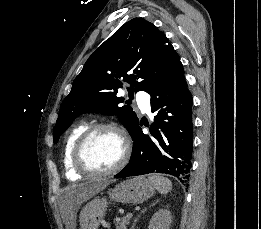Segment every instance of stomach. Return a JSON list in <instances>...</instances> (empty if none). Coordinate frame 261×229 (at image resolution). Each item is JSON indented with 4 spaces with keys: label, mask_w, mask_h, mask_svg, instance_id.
<instances>
[{
    "label": "stomach",
    "mask_w": 261,
    "mask_h": 229,
    "mask_svg": "<svg viewBox=\"0 0 261 229\" xmlns=\"http://www.w3.org/2000/svg\"><path fill=\"white\" fill-rule=\"evenodd\" d=\"M157 189L155 183L144 177L128 179L119 183L114 189H109L108 195L117 203H143L150 199ZM107 203L105 199H94L85 205L80 213L81 229H98L106 213Z\"/></svg>",
    "instance_id": "stomach-1"
}]
</instances>
